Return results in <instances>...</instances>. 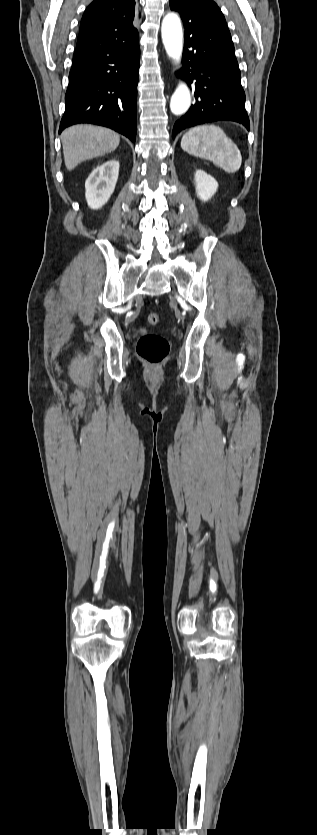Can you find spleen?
Listing matches in <instances>:
<instances>
[{"instance_id": "spleen-1", "label": "spleen", "mask_w": 317, "mask_h": 835, "mask_svg": "<svg viewBox=\"0 0 317 835\" xmlns=\"http://www.w3.org/2000/svg\"><path fill=\"white\" fill-rule=\"evenodd\" d=\"M181 148L190 155L213 162L229 174L241 167L240 150L219 126L213 124L190 129L182 137Z\"/></svg>"}]
</instances>
